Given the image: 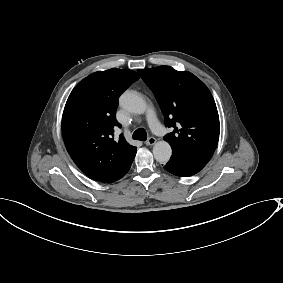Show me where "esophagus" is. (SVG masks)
Returning <instances> with one entry per match:
<instances>
[{
    "label": "esophagus",
    "mask_w": 283,
    "mask_h": 283,
    "mask_svg": "<svg viewBox=\"0 0 283 283\" xmlns=\"http://www.w3.org/2000/svg\"><path fill=\"white\" fill-rule=\"evenodd\" d=\"M156 142H157L156 138L150 137L145 141V144L149 146V145H154Z\"/></svg>",
    "instance_id": "1"
}]
</instances>
